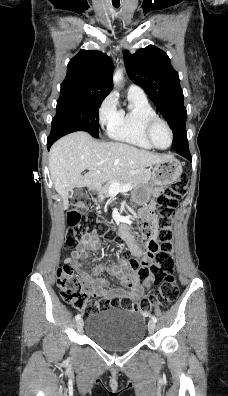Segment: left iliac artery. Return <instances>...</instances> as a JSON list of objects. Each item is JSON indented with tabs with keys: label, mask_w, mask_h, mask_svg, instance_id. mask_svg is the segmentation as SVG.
I'll return each mask as SVG.
<instances>
[{
	"label": "left iliac artery",
	"mask_w": 228,
	"mask_h": 396,
	"mask_svg": "<svg viewBox=\"0 0 228 396\" xmlns=\"http://www.w3.org/2000/svg\"><path fill=\"white\" fill-rule=\"evenodd\" d=\"M151 319H152L154 322H157V318H156L154 315H152Z\"/></svg>",
	"instance_id": "obj_1"
}]
</instances>
